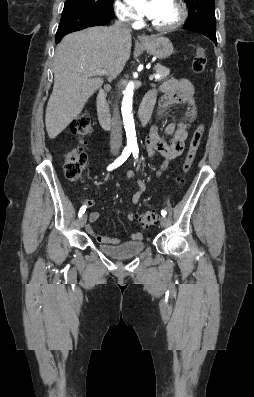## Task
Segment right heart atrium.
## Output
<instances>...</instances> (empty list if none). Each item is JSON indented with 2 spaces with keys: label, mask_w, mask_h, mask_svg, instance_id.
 <instances>
[{
  "label": "right heart atrium",
  "mask_w": 254,
  "mask_h": 397,
  "mask_svg": "<svg viewBox=\"0 0 254 397\" xmlns=\"http://www.w3.org/2000/svg\"><path fill=\"white\" fill-rule=\"evenodd\" d=\"M114 10L117 17L123 22L135 25L140 21V17L121 0L115 1Z\"/></svg>",
  "instance_id": "1"
}]
</instances>
